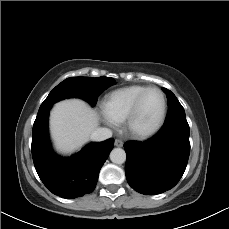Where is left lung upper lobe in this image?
<instances>
[{"label":"left lung upper lobe","mask_w":229,"mask_h":229,"mask_svg":"<svg viewBox=\"0 0 229 229\" xmlns=\"http://www.w3.org/2000/svg\"><path fill=\"white\" fill-rule=\"evenodd\" d=\"M168 99V113L165 123H169L179 119H186L185 111L176 96L170 90L163 88Z\"/></svg>","instance_id":"5c2ea615"}]
</instances>
